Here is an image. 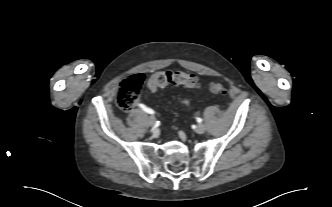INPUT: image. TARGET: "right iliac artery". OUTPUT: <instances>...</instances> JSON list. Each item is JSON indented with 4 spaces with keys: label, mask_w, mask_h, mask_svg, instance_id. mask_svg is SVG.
Wrapping results in <instances>:
<instances>
[{
    "label": "right iliac artery",
    "mask_w": 332,
    "mask_h": 207,
    "mask_svg": "<svg viewBox=\"0 0 332 207\" xmlns=\"http://www.w3.org/2000/svg\"><path fill=\"white\" fill-rule=\"evenodd\" d=\"M138 106L143 110L145 111L146 113H149V114H154V111L148 107H146L144 104H138Z\"/></svg>",
    "instance_id": "1"
}]
</instances>
